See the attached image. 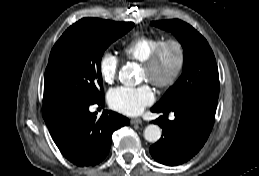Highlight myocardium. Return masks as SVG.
I'll return each mask as SVG.
<instances>
[{
	"instance_id": "f54148a6",
	"label": "myocardium",
	"mask_w": 259,
	"mask_h": 176,
	"mask_svg": "<svg viewBox=\"0 0 259 176\" xmlns=\"http://www.w3.org/2000/svg\"><path fill=\"white\" fill-rule=\"evenodd\" d=\"M168 47L175 48L177 52V62L174 70L168 76H161L158 72L159 63L161 61L164 51ZM186 61L185 49L181 41L175 38L163 40L149 55V57L142 62V66L150 73L149 81L161 90H167L173 87L179 80Z\"/></svg>"
}]
</instances>
